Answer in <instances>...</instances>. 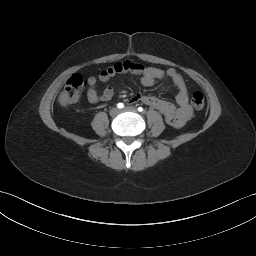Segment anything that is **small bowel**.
Wrapping results in <instances>:
<instances>
[{
  "instance_id": "1",
  "label": "small bowel",
  "mask_w": 256,
  "mask_h": 256,
  "mask_svg": "<svg viewBox=\"0 0 256 256\" xmlns=\"http://www.w3.org/2000/svg\"><path fill=\"white\" fill-rule=\"evenodd\" d=\"M118 73H131L140 76V82L145 87H151L156 81L167 77L177 87L178 92L175 100L176 104L158 97L138 93L130 99V103L142 102L158 110L165 118L166 122L174 127L185 124L192 116V111L188 103V88L182 75L175 69L169 68L166 71L146 66L139 62L123 61L116 62L100 71L98 80L107 82ZM97 78H88L87 99L91 104L109 101L114 95V89L106 87L101 93L96 90Z\"/></svg>"
}]
</instances>
